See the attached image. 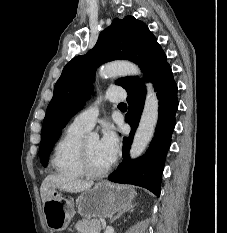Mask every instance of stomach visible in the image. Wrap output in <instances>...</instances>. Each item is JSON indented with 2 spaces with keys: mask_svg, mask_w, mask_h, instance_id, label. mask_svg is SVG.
Listing matches in <instances>:
<instances>
[{
  "mask_svg": "<svg viewBox=\"0 0 227 233\" xmlns=\"http://www.w3.org/2000/svg\"><path fill=\"white\" fill-rule=\"evenodd\" d=\"M134 196L135 191L131 187L109 182L98 183L83 191L75 203L65 199L59 190H52L43 204L45 222L51 230L62 231L75 215V207L81 216L88 219L112 217L116 212L129 207Z\"/></svg>",
  "mask_w": 227,
  "mask_h": 233,
  "instance_id": "1",
  "label": "stomach"
}]
</instances>
